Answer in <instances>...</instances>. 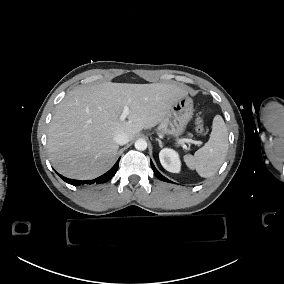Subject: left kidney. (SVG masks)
Here are the masks:
<instances>
[{
  "instance_id": "5707ae66",
  "label": "left kidney",
  "mask_w": 284,
  "mask_h": 284,
  "mask_svg": "<svg viewBox=\"0 0 284 284\" xmlns=\"http://www.w3.org/2000/svg\"><path fill=\"white\" fill-rule=\"evenodd\" d=\"M159 159L164 167L169 172L179 173L181 170V162L178 153L169 148H164L159 153Z\"/></svg>"
}]
</instances>
